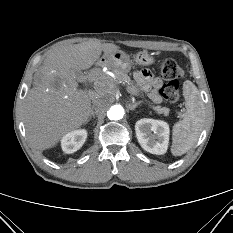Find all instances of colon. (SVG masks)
<instances>
[{"label":"colon","mask_w":233,"mask_h":233,"mask_svg":"<svg viewBox=\"0 0 233 233\" xmlns=\"http://www.w3.org/2000/svg\"><path fill=\"white\" fill-rule=\"evenodd\" d=\"M160 74L167 81L160 92L162 97L169 103L174 104L179 100L178 80L185 76L182 67L173 59H166L160 68Z\"/></svg>","instance_id":"5ec220e1"}]
</instances>
